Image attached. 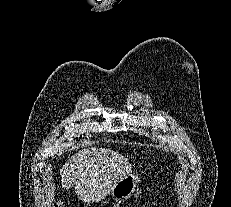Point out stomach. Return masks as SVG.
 I'll return each instance as SVG.
<instances>
[{
  "label": "stomach",
  "instance_id": "stomach-1",
  "mask_svg": "<svg viewBox=\"0 0 231 207\" xmlns=\"http://www.w3.org/2000/svg\"><path fill=\"white\" fill-rule=\"evenodd\" d=\"M138 177L132 173L125 175L113 187L110 194L116 201H123L134 193Z\"/></svg>",
  "mask_w": 231,
  "mask_h": 207
}]
</instances>
